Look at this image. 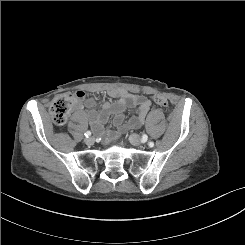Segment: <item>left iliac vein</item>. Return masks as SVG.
Wrapping results in <instances>:
<instances>
[{
	"instance_id": "obj_1",
	"label": "left iliac vein",
	"mask_w": 245,
	"mask_h": 245,
	"mask_svg": "<svg viewBox=\"0 0 245 245\" xmlns=\"http://www.w3.org/2000/svg\"><path fill=\"white\" fill-rule=\"evenodd\" d=\"M129 140H130L131 144H133L135 146L142 144V140L140 139V137L134 133L130 135Z\"/></svg>"
}]
</instances>
